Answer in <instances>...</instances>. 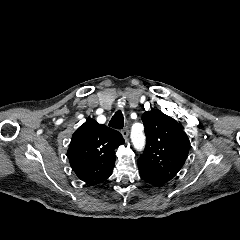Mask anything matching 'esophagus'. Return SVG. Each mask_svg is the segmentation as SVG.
<instances>
[{
  "instance_id": "esophagus-1",
  "label": "esophagus",
  "mask_w": 240,
  "mask_h": 240,
  "mask_svg": "<svg viewBox=\"0 0 240 240\" xmlns=\"http://www.w3.org/2000/svg\"><path fill=\"white\" fill-rule=\"evenodd\" d=\"M122 136L125 140L128 139V136H129V129L128 127H125L123 130H122Z\"/></svg>"
}]
</instances>
